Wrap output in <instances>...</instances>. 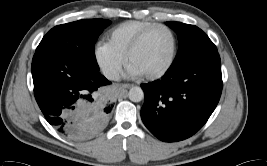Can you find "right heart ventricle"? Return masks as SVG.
Returning <instances> with one entry per match:
<instances>
[{
	"label": "right heart ventricle",
	"mask_w": 267,
	"mask_h": 166,
	"mask_svg": "<svg viewBox=\"0 0 267 166\" xmlns=\"http://www.w3.org/2000/svg\"><path fill=\"white\" fill-rule=\"evenodd\" d=\"M155 26L147 21H130L115 28L110 36L109 44L119 54H126L133 42L146 30Z\"/></svg>",
	"instance_id": "right-heart-ventricle-1"
}]
</instances>
